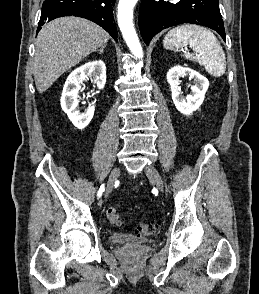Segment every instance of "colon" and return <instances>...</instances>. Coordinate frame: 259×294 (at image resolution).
<instances>
[{"instance_id":"1","label":"colon","mask_w":259,"mask_h":294,"mask_svg":"<svg viewBox=\"0 0 259 294\" xmlns=\"http://www.w3.org/2000/svg\"><path fill=\"white\" fill-rule=\"evenodd\" d=\"M107 218L109 222L117 227L122 226L123 221L120 218L117 210L113 207H109L106 210ZM157 232V226L152 223H142L137 228V235L141 237L152 236Z\"/></svg>"}]
</instances>
